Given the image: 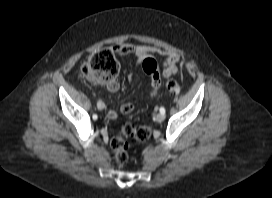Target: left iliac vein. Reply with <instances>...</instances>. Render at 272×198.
Returning <instances> with one entry per match:
<instances>
[{"mask_svg":"<svg viewBox=\"0 0 272 198\" xmlns=\"http://www.w3.org/2000/svg\"><path fill=\"white\" fill-rule=\"evenodd\" d=\"M165 119V114L159 113L155 116L157 122H162Z\"/></svg>","mask_w":272,"mask_h":198,"instance_id":"obj_1","label":"left iliac vein"}]
</instances>
